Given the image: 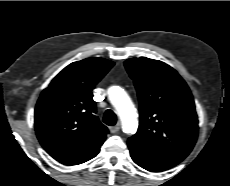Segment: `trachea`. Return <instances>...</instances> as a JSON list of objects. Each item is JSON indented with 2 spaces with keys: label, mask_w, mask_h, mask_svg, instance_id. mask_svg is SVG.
<instances>
[{
  "label": "trachea",
  "mask_w": 230,
  "mask_h": 186,
  "mask_svg": "<svg viewBox=\"0 0 230 186\" xmlns=\"http://www.w3.org/2000/svg\"><path fill=\"white\" fill-rule=\"evenodd\" d=\"M103 122L109 126H113L117 122L115 113L112 110H107L103 117Z\"/></svg>",
  "instance_id": "1"
}]
</instances>
